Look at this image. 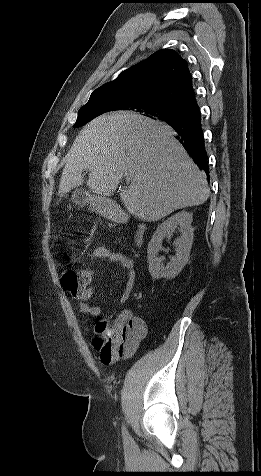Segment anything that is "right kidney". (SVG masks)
<instances>
[{"instance_id": "obj_1", "label": "right kidney", "mask_w": 261, "mask_h": 476, "mask_svg": "<svg viewBox=\"0 0 261 476\" xmlns=\"http://www.w3.org/2000/svg\"><path fill=\"white\" fill-rule=\"evenodd\" d=\"M192 214L181 211L161 223L153 234L147 248L149 272L154 279L175 278L186 265L193 243ZM179 228L181 236L174 241L176 255L165 266L158 252L165 237L170 238Z\"/></svg>"}]
</instances>
